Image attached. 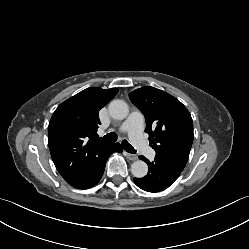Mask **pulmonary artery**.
Wrapping results in <instances>:
<instances>
[{
	"label": "pulmonary artery",
	"instance_id": "obj_1",
	"mask_svg": "<svg viewBox=\"0 0 249 249\" xmlns=\"http://www.w3.org/2000/svg\"><path fill=\"white\" fill-rule=\"evenodd\" d=\"M144 117L140 112H132L126 121L120 126V131L128 133L130 141L137 150L148 158H153L154 150L148 145L143 135Z\"/></svg>",
	"mask_w": 249,
	"mask_h": 249
}]
</instances>
